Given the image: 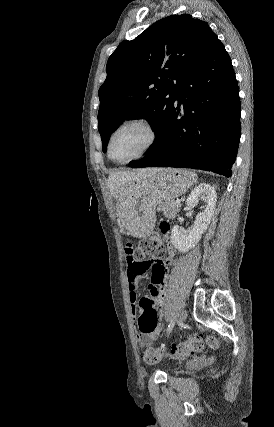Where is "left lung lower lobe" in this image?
<instances>
[{
    "mask_svg": "<svg viewBox=\"0 0 274 427\" xmlns=\"http://www.w3.org/2000/svg\"><path fill=\"white\" fill-rule=\"evenodd\" d=\"M240 114L231 59L215 36L181 79L166 123L145 158L129 165L192 168L231 177Z\"/></svg>",
    "mask_w": 274,
    "mask_h": 427,
    "instance_id": "0a47b994",
    "label": "left lung lower lobe"
}]
</instances>
